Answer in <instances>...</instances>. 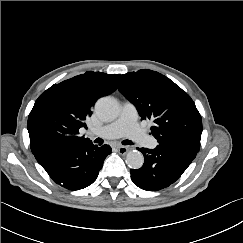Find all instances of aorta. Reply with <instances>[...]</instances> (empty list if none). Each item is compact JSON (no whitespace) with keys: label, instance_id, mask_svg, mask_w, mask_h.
Instances as JSON below:
<instances>
[{"label":"aorta","instance_id":"aorta-1","mask_svg":"<svg viewBox=\"0 0 243 243\" xmlns=\"http://www.w3.org/2000/svg\"><path fill=\"white\" fill-rule=\"evenodd\" d=\"M95 112L103 121H112L119 114L118 102L111 97H103L95 104ZM126 164L131 169H140L144 163V156L138 150H131L126 155Z\"/></svg>","mask_w":243,"mask_h":243}]
</instances>
